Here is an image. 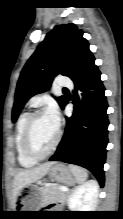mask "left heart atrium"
<instances>
[{
	"instance_id": "obj_1",
	"label": "left heart atrium",
	"mask_w": 123,
	"mask_h": 219,
	"mask_svg": "<svg viewBox=\"0 0 123 219\" xmlns=\"http://www.w3.org/2000/svg\"><path fill=\"white\" fill-rule=\"evenodd\" d=\"M47 113L48 115L53 119V121L59 125V122H60V116H59V112H58V109L56 107L55 104H51L49 106V108L47 109Z\"/></svg>"
}]
</instances>
